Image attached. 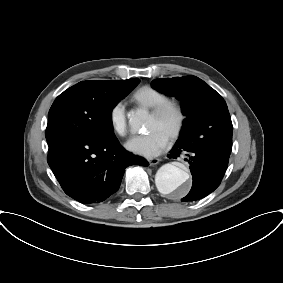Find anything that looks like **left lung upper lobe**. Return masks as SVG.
Instances as JSON below:
<instances>
[{"instance_id":"1","label":"left lung upper lobe","mask_w":283,"mask_h":283,"mask_svg":"<svg viewBox=\"0 0 283 283\" xmlns=\"http://www.w3.org/2000/svg\"><path fill=\"white\" fill-rule=\"evenodd\" d=\"M151 84L158 92L181 100L186 119L180 135L194 130L199 142L210 150L231 153L233 126L219 93L193 75L155 79Z\"/></svg>"}]
</instances>
